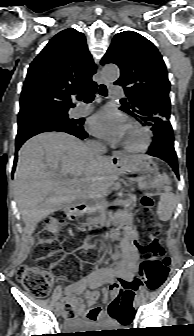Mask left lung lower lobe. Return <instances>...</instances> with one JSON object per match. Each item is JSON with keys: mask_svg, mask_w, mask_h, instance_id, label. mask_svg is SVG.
I'll return each mask as SVG.
<instances>
[{"mask_svg": "<svg viewBox=\"0 0 194 336\" xmlns=\"http://www.w3.org/2000/svg\"><path fill=\"white\" fill-rule=\"evenodd\" d=\"M151 127L154 131V142L150 145L147 154L166 161L172 167L176 175L179 176L177 156L174 149L173 130L170 121L163 120Z\"/></svg>", "mask_w": 194, "mask_h": 336, "instance_id": "obj_1", "label": "left lung lower lobe"}]
</instances>
